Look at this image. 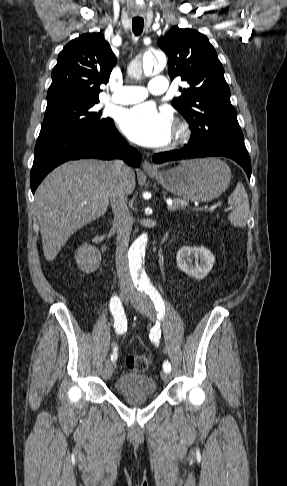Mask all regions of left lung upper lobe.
<instances>
[{"label": "left lung upper lobe", "instance_id": "left-lung-upper-lobe-1", "mask_svg": "<svg viewBox=\"0 0 287 486\" xmlns=\"http://www.w3.org/2000/svg\"><path fill=\"white\" fill-rule=\"evenodd\" d=\"M158 45L168 55L171 80L180 76L189 84L179 88L182 94L172 100V105L190 124V140L245 148L223 66L207 37L174 26Z\"/></svg>", "mask_w": 287, "mask_h": 486}]
</instances>
